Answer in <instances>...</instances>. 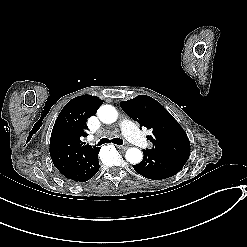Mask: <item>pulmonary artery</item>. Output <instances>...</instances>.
I'll return each mask as SVG.
<instances>
[{"label":"pulmonary artery","instance_id":"pulmonary-artery-1","mask_svg":"<svg viewBox=\"0 0 247 247\" xmlns=\"http://www.w3.org/2000/svg\"><path fill=\"white\" fill-rule=\"evenodd\" d=\"M118 126L123 136L132 144L142 148H152L153 144L146 140L144 132L140 129L138 123L126 116H120Z\"/></svg>","mask_w":247,"mask_h":247}]
</instances>
